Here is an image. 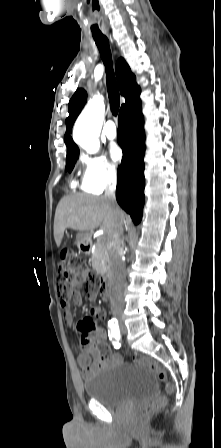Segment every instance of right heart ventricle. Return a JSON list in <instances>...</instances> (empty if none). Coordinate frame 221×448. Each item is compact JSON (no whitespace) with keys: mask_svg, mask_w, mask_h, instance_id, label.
<instances>
[{"mask_svg":"<svg viewBox=\"0 0 221 448\" xmlns=\"http://www.w3.org/2000/svg\"><path fill=\"white\" fill-rule=\"evenodd\" d=\"M74 184H75L74 181H72V186H74Z\"/></svg>","mask_w":221,"mask_h":448,"instance_id":"1","label":"right heart ventricle"}]
</instances>
